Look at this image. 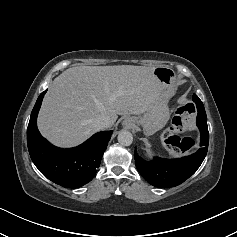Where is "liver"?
Listing matches in <instances>:
<instances>
[{
	"label": "liver",
	"instance_id": "6515ba94",
	"mask_svg": "<svg viewBox=\"0 0 237 237\" xmlns=\"http://www.w3.org/2000/svg\"><path fill=\"white\" fill-rule=\"evenodd\" d=\"M155 67L77 66L50 84L38 116V129L51 143L72 147L97 130L93 122L106 116L140 115L156 99Z\"/></svg>",
	"mask_w": 237,
	"mask_h": 237
}]
</instances>
